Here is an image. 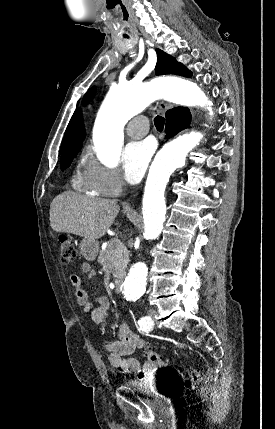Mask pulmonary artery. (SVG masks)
Here are the masks:
<instances>
[{"mask_svg": "<svg viewBox=\"0 0 275 429\" xmlns=\"http://www.w3.org/2000/svg\"><path fill=\"white\" fill-rule=\"evenodd\" d=\"M148 120L144 116H138L131 120L127 125V134L134 139L144 137L148 133Z\"/></svg>", "mask_w": 275, "mask_h": 429, "instance_id": "obj_1", "label": "pulmonary artery"}]
</instances>
